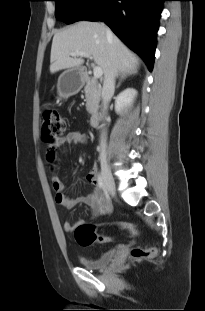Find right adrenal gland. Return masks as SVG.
<instances>
[{
	"mask_svg": "<svg viewBox=\"0 0 205 311\" xmlns=\"http://www.w3.org/2000/svg\"><path fill=\"white\" fill-rule=\"evenodd\" d=\"M136 72H137V69H135V70H133V71L121 72V74H120V79H119V82H118L116 88H119V87H120L122 80L126 79L127 76H130V75H132V74H134V73H136Z\"/></svg>",
	"mask_w": 205,
	"mask_h": 311,
	"instance_id": "right-adrenal-gland-1",
	"label": "right adrenal gland"
}]
</instances>
